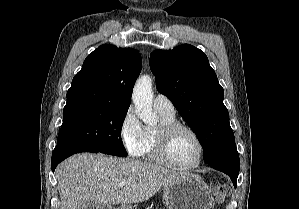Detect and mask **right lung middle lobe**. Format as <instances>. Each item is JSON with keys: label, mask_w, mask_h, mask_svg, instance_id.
I'll return each instance as SVG.
<instances>
[{"label": "right lung middle lobe", "mask_w": 299, "mask_h": 209, "mask_svg": "<svg viewBox=\"0 0 299 209\" xmlns=\"http://www.w3.org/2000/svg\"><path fill=\"white\" fill-rule=\"evenodd\" d=\"M128 108L107 105L65 106L57 146H68L127 156L121 127Z\"/></svg>", "instance_id": "obj_1"}]
</instances>
